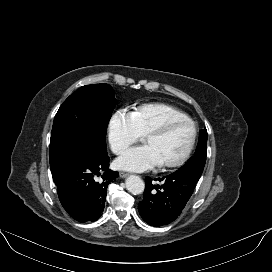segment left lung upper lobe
Wrapping results in <instances>:
<instances>
[{"label":"left lung upper lobe","instance_id":"left-lung-upper-lobe-1","mask_svg":"<svg viewBox=\"0 0 272 272\" xmlns=\"http://www.w3.org/2000/svg\"><path fill=\"white\" fill-rule=\"evenodd\" d=\"M207 130L203 129L199 132V140L196 152L188 162L178 169L177 173H192L201 176L207 155Z\"/></svg>","mask_w":272,"mask_h":272}]
</instances>
